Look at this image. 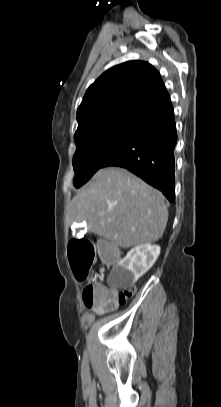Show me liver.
Wrapping results in <instances>:
<instances>
[{
	"label": "liver",
	"mask_w": 221,
	"mask_h": 407,
	"mask_svg": "<svg viewBox=\"0 0 221 407\" xmlns=\"http://www.w3.org/2000/svg\"><path fill=\"white\" fill-rule=\"evenodd\" d=\"M71 205L74 220L122 248L157 241L168 221L163 194L118 167L97 171Z\"/></svg>",
	"instance_id": "liver-1"
}]
</instances>
